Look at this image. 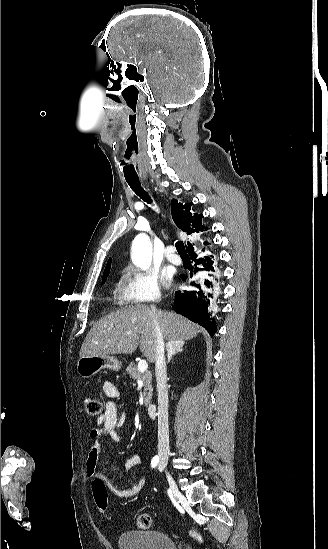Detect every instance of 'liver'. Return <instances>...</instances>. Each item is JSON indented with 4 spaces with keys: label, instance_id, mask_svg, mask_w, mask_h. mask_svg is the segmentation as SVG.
<instances>
[{
    "label": "liver",
    "instance_id": "obj_1",
    "mask_svg": "<svg viewBox=\"0 0 328 549\" xmlns=\"http://www.w3.org/2000/svg\"><path fill=\"white\" fill-rule=\"evenodd\" d=\"M154 319L166 341H189L201 333L198 325L173 311L158 309L152 313L147 305H129L93 325L80 349V357L130 355L139 345L147 361L155 363Z\"/></svg>",
    "mask_w": 328,
    "mask_h": 549
}]
</instances>
